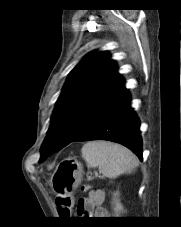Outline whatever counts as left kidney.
<instances>
[{
	"mask_svg": "<svg viewBox=\"0 0 181 227\" xmlns=\"http://www.w3.org/2000/svg\"><path fill=\"white\" fill-rule=\"evenodd\" d=\"M119 195V192L113 194L112 209L114 217H120V214L125 212L124 207L120 202Z\"/></svg>",
	"mask_w": 181,
	"mask_h": 227,
	"instance_id": "1",
	"label": "left kidney"
}]
</instances>
